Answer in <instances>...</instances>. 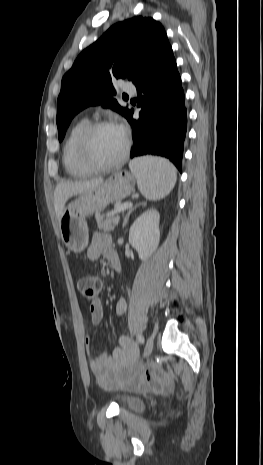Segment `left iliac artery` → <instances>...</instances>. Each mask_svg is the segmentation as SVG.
<instances>
[{"instance_id":"obj_1","label":"left iliac artery","mask_w":263,"mask_h":465,"mask_svg":"<svg viewBox=\"0 0 263 465\" xmlns=\"http://www.w3.org/2000/svg\"><path fill=\"white\" fill-rule=\"evenodd\" d=\"M137 340L139 343L143 344L144 343V336L142 334H138L137 335Z\"/></svg>"}]
</instances>
